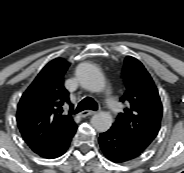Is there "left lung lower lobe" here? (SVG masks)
Returning <instances> with one entry per match:
<instances>
[{
    "mask_svg": "<svg viewBox=\"0 0 184 173\" xmlns=\"http://www.w3.org/2000/svg\"><path fill=\"white\" fill-rule=\"evenodd\" d=\"M99 144L106 158L115 163L130 161L143 153L113 127L100 134Z\"/></svg>",
    "mask_w": 184,
    "mask_h": 173,
    "instance_id": "obj_1",
    "label": "left lung lower lobe"
}]
</instances>
